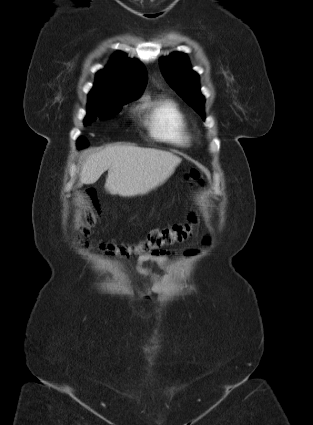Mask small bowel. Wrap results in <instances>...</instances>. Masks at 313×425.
Instances as JSON below:
<instances>
[{
  "label": "small bowel",
  "mask_w": 313,
  "mask_h": 425,
  "mask_svg": "<svg viewBox=\"0 0 313 425\" xmlns=\"http://www.w3.org/2000/svg\"><path fill=\"white\" fill-rule=\"evenodd\" d=\"M154 262L159 267L166 271H170L173 267L171 260L164 253L159 254H144L140 255L137 259V271L146 277H149L152 280L151 286L148 288V294L150 293H158L164 290L166 283L168 282V277L159 276L152 273L147 267H145V263Z\"/></svg>",
  "instance_id": "obj_1"
}]
</instances>
